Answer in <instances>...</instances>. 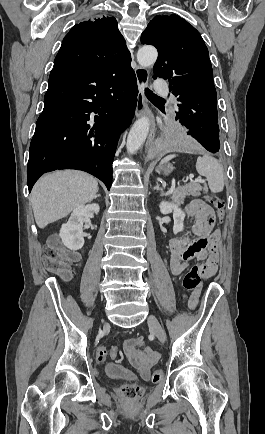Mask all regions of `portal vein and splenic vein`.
<instances>
[{"label":"portal vein and splenic vein","instance_id":"obj_1","mask_svg":"<svg viewBox=\"0 0 265 434\" xmlns=\"http://www.w3.org/2000/svg\"><path fill=\"white\" fill-rule=\"evenodd\" d=\"M189 178L190 180H193L194 178L193 174H190ZM193 182H200V184H204L205 180H198V178H196V180H193Z\"/></svg>","mask_w":265,"mask_h":434}]
</instances>
